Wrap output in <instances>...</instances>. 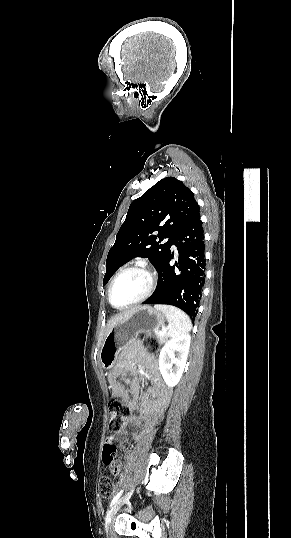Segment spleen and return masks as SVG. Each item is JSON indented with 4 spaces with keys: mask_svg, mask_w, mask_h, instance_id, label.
I'll return each mask as SVG.
<instances>
[{
    "mask_svg": "<svg viewBox=\"0 0 291 538\" xmlns=\"http://www.w3.org/2000/svg\"><path fill=\"white\" fill-rule=\"evenodd\" d=\"M156 310L165 314L168 320V335L177 337L186 334L192 328V323L189 316L174 306L157 304L154 306Z\"/></svg>",
    "mask_w": 291,
    "mask_h": 538,
    "instance_id": "spleen-1",
    "label": "spleen"
}]
</instances>
